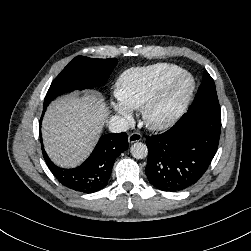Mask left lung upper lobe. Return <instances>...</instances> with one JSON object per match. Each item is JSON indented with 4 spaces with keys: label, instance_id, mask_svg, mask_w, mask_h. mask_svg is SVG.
I'll return each mask as SVG.
<instances>
[{
    "label": "left lung upper lobe",
    "instance_id": "1",
    "mask_svg": "<svg viewBox=\"0 0 251 251\" xmlns=\"http://www.w3.org/2000/svg\"><path fill=\"white\" fill-rule=\"evenodd\" d=\"M190 107L195 110L209 109L220 111L215 83L207 71L204 72L203 81Z\"/></svg>",
    "mask_w": 251,
    "mask_h": 251
}]
</instances>
